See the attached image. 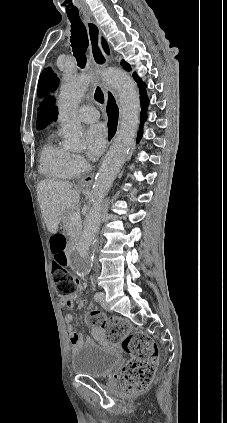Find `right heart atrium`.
Here are the masks:
<instances>
[{
    "instance_id": "obj_1",
    "label": "right heart atrium",
    "mask_w": 227,
    "mask_h": 423,
    "mask_svg": "<svg viewBox=\"0 0 227 423\" xmlns=\"http://www.w3.org/2000/svg\"><path fill=\"white\" fill-rule=\"evenodd\" d=\"M89 169L87 160L80 154H70L67 160L69 178H77Z\"/></svg>"
}]
</instances>
